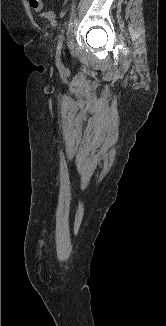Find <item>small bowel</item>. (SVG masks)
<instances>
[{
    "label": "small bowel",
    "instance_id": "1",
    "mask_svg": "<svg viewBox=\"0 0 166 326\" xmlns=\"http://www.w3.org/2000/svg\"><path fill=\"white\" fill-rule=\"evenodd\" d=\"M29 4L36 12H39L43 8L42 0H29Z\"/></svg>",
    "mask_w": 166,
    "mask_h": 326
}]
</instances>
